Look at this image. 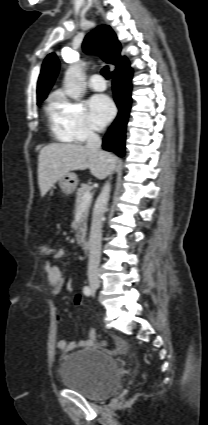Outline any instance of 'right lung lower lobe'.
Here are the masks:
<instances>
[{
    "label": "right lung lower lobe",
    "instance_id": "98d812e1",
    "mask_svg": "<svg viewBox=\"0 0 208 425\" xmlns=\"http://www.w3.org/2000/svg\"><path fill=\"white\" fill-rule=\"evenodd\" d=\"M132 74L133 72L129 65L112 73L114 100L119 113L109 132L103 138L102 147L120 157H123L125 153V132L132 100Z\"/></svg>",
    "mask_w": 208,
    "mask_h": 425
}]
</instances>
